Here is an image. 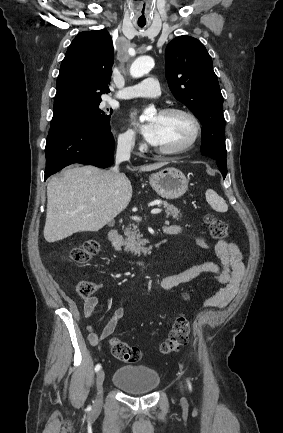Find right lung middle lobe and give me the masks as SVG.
Here are the masks:
<instances>
[{
	"instance_id": "1",
	"label": "right lung middle lobe",
	"mask_w": 283,
	"mask_h": 433,
	"mask_svg": "<svg viewBox=\"0 0 283 433\" xmlns=\"http://www.w3.org/2000/svg\"><path fill=\"white\" fill-rule=\"evenodd\" d=\"M101 100L79 104L57 112H53L51 125L68 123L96 124L110 130V114L100 109ZM107 111H109L107 109Z\"/></svg>"
}]
</instances>
